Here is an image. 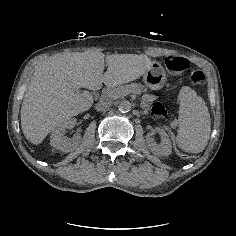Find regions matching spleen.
Here are the masks:
<instances>
[{
  "mask_svg": "<svg viewBox=\"0 0 236 236\" xmlns=\"http://www.w3.org/2000/svg\"><path fill=\"white\" fill-rule=\"evenodd\" d=\"M178 121V147L189 153L202 152L210 138V114L204 100L188 87L180 92Z\"/></svg>",
  "mask_w": 236,
  "mask_h": 236,
  "instance_id": "3e777b00",
  "label": "spleen"
}]
</instances>
